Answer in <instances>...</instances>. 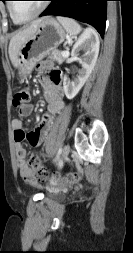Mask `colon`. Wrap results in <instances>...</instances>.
Listing matches in <instances>:
<instances>
[{"label":"colon","instance_id":"1","mask_svg":"<svg viewBox=\"0 0 133 253\" xmlns=\"http://www.w3.org/2000/svg\"><path fill=\"white\" fill-rule=\"evenodd\" d=\"M29 91L27 88H20L16 93L14 94L13 97V105L15 107L21 108L25 105L28 104L29 102ZM30 165L32 169L35 172V175L38 178H46L47 176V171L45 170L44 166L42 163L39 161V159L35 156H32L30 158ZM51 178L54 182H60V181H69V182H76L79 180V175L76 173H69L66 175H61L59 173H53L51 175Z\"/></svg>","mask_w":133,"mask_h":253}]
</instances>
